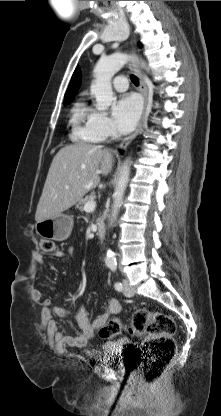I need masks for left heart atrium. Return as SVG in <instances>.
Instances as JSON below:
<instances>
[{"mask_svg": "<svg viewBox=\"0 0 221 416\" xmlns=\"http://www.w3.org/2000/svg\"><path fill=\"white\" fill-rule=\"evenodd\" d=\"M142 110L139 97L135 94L122 95L113 106V117L117 129L128 133L136 126Z\"/></svg>", "mask_w": 221, "mask_h": 416, "instance_id": "39dd6f15", "label": "left heart atrium"}]
</instances>
